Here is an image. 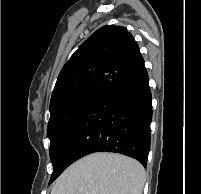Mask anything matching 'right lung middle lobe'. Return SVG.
Here are the masks:
<instances>
[{"mask_svg": "<svg viewBox=\"0 0 201 194\" xmlns=\"http://www.w3.org/2000/svg\"><path fill=\"white\" fill-rule=\"evenodd\" d=\"M99 95H85L64 101L50 109V120L47 127V135L51 141L49 154L51 160L53 159L54 151L57 148L61 137L66 132L70 124L86 110ZM53 173L49 184L55 179L56 164L52 160Z\"/></svg>", "mask_w": 201, "mask_h": 194, "instance_id": "1", "label": "right lung middle lobe"}]
</instances>
